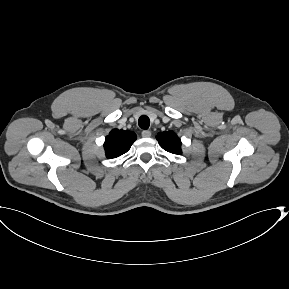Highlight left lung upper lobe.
Masks as SVG:
<instances>
[{
    "label": "left lung upper lobe",
    "mask_w": 289,
    "mask_h": 289,
    "mask_svg": "<svg viewBox=\"0 0 289 289\" xmlns=\"http://www.w3.org/2000/svg\"><path fill=\"white\" fill-rule=\"evenodd\" d=\"M160 146L173 154H182L181 141L179 137L172 131L159 133L156 137Z\"/></svg>",
    "instance_id": "5c2ea615"
}]
</instances>
